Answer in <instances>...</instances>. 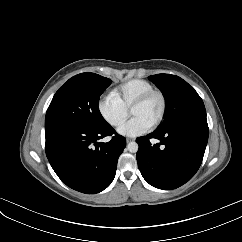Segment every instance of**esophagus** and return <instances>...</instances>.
<instances>
[{
    "mask_svg": "<svg viewBox=\"0 0 242 242\" xmlns=\"http://www.w3.org/2000/svg\"><path fill=\"white\" fill-rule=\"evenodd\" d=\"M132 140H133V139H131V138H127V139H126V142L129 143V142H131Z\"/></svg>",
    "mask_w": 242,
    "mask_h": 242,
    "instance_id": "34e87169",
    "label": "esophagus"
}]
</instances>
